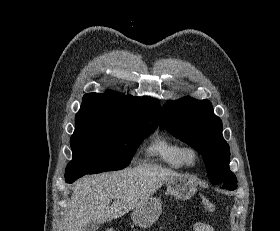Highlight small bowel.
<instances>
[{
    "instance_id": "small-bowel-1",
    "label": "small bowel",
    "mask_w": 280,
    "mask_h": 231,
    "mask_svg": "<svg viewBox=\"0 0 280 231\" xmlns=\"http://www.w3.org/2000/svg\"><path fill=\"white\" fill-rule=\"evenodd\" d=\"M192 231H215V229L211 224L199 221L193 224Z\"/></svg>"
}]
</instances>
